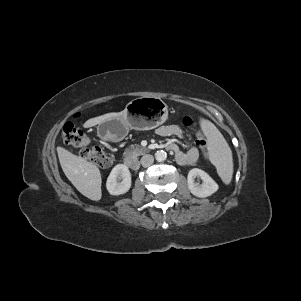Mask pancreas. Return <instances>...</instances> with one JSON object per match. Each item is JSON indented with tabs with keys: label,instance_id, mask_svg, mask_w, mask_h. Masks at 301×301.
Returning a JSON list of instances; mask_svg holds the SVG:
<instances>
[{
	"label": "pancreas",
	"instance_id": "1",
	"mask_svg": "<svg viewBox=\"0 0 301 301\" xmlns=\"http://www.w3.org/2000/svg\"><path fill=\"white\" fill-rule=\"evenodd\" d=\"M145 148L140 145H133L131 149L127 148L124 152V156L136 158L145 153Z\"/></svg>",
	"mask_w": 301,
	"mask_h": 301
}]
</instances>
